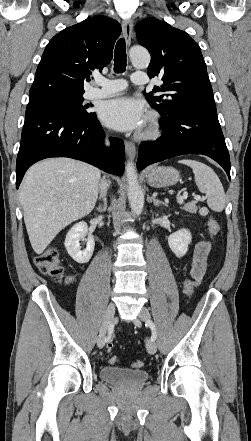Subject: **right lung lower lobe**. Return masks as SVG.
Segmentation results:
<instances>
[{"label":"right lung lower lobe","instance_id":"1","mask_svg":"<svg viewBox=\"0 0 251 441\" xmlns=\"http://www.w3.org/2000/svg\"><path fill=\"white\" fill-rule=\"evenodd\" d=\"M104 136L95 113L79 119L29 103L16 161V188L32 164L49 157L74 158L121 176L125 161L124 142L120 138H110L111 147L105 148Z\"/></svg>","mask_w":251,"mask_h":441}]
</instances>
